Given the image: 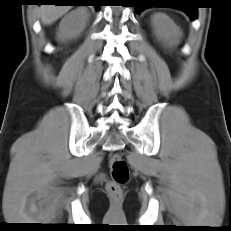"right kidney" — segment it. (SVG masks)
<instances>
[{"label":"right kidney","instance_id":"ca27d5eb","mask_svg":"<svg viewBox=\"0 0 231 231\" xmlns=\"http://www.w3.org/2000/svg\"><path fill=\"white\" fill-rule=\"evenodd\" d=\"M88 19L89 14L84 7H79L65 15L59 24L58 41L65 42L79 37L85 29Z\"/></svg>","mask_w":231,"mask_h":231}]
</instances>
